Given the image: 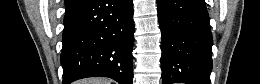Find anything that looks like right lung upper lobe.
<instances>
[{"label": "right lung upper lobe", "instance_id": "1", "mask_svg": "<svg viewBox=\"0 0 260 84\" xmlns=\"http://www.w3.org/2000/svg\"><path fill=\"white\" fill-rule=\"evenodd\" d=\"M83 0H66V11L71 10L78 6Z\"/></svg>", "mask_w": 260, "mask_h": 84}]
</instances>
